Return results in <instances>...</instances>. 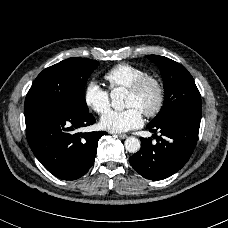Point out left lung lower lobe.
<instances>
[{"instance_id":"1","label":"left lung lower lobe","mask_w":228,"mask_h":228,"mask_svg":"<svg viewBox=\"0 0 228 228\" xmlns=\"http://www.w3.org/2000/svg\"><path fill=\"white\" fill-rule=\"evenodd\" d=\"M201 118L186 114L171 116L147 128L161 137L140 138L141 149L129 158L131 166L143 177L151 180L165 179L179 171L189 160L198 139Z\"/></svg>"}]
</instances>
